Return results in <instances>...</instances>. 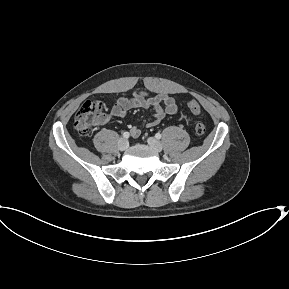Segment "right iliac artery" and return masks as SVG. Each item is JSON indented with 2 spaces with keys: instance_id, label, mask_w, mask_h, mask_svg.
Returning a JSON list of instances; mask_svg holds the SVG:
<instances>
[{
  "instance_id": "82829eb1",
  "label": "right iliac artery",
  "mask_w": 289,
  "mask_h": 289,
  "mask_svg": "<svg viewBox=\"0 0 289 289\" xmlns=\"http://www.w3.org/2000/svg\"><path fill=\"white\" fill-rule=\"evenodd\" d=\"M129 136H130L129 132H124V133H123V137H124V138L127 139V138H129Z\"/></svg>"
}]
</instances>
